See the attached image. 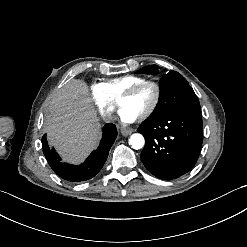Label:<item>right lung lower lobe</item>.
I'll return each mask as SVG.
<instances>
[{"label": "right lung lower lobe", "instance_id": "1", "mask_svg": "<svg viewBox=\"0 0 247 247\" xmlns=\"http://www.w3.org/2000/svg\"><path fill=\"white\" fill-rule=\"evenodd\" d=\"M116 136V126L112 123L106 124L99 147L78 166L62 163L56 151L49 147L46 135L42 137V148L50 167L59 177L67 181L79 182L91 179L101 170Z\"/></svg>", "mask_w": 247, "mask_h": 247}]
</instances>
